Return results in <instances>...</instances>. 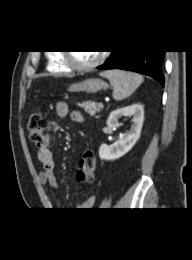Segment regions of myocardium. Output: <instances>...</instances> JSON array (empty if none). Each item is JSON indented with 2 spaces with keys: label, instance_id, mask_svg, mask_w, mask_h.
<instances>
[{
  "label": "myocardium",
  "instance_id": "1",
  "mask_svg": "<svg viewBox=\"0 0 192 260\" xmlns=\"http://www.w3.org/2000/svg\"><path fill=\"white\" fill-rule=\"evenodd\" d=\"M62 60L68 66L70 69L78 71V72H86V71H91L98 67L100 64L103 63L105 60V54H101L95 61H93L90 64L86 65H80L74 62L72 55L68 51H64L62 53Z\"/></svg>",
  "mask_w": 192,
  "mask_h": 260
}]
</instances>
